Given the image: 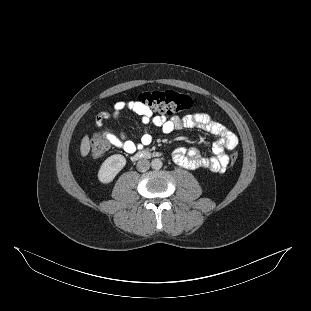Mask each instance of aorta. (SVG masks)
<instances>
[{"mask_svg": "<svg viewBox=\"0 0 311 311\" xmlns=\"http://www.w3.org/2000/svg\"><path fill=\"white\" fill-rule=\"evenodd\" d=\"M151 166H152L153 169L159 170V169L162 168L163 163H162V161H161L159 158H154V159L151 161Z\"/></svg>", "mask_w": 311, "mask_h": 311, "instance_id": "aorta-1", "label": "aorta"}]
</instances>
